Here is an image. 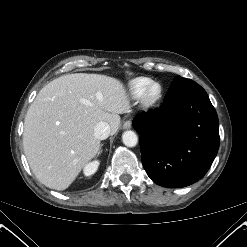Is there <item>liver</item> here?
<instances>
[{
  "label": "liver",
  "mask_w": 247,
  "mask_h": 247,
  "mask_svg": "<svg viewBox=\"0 0 247 247\" xmlns=\"http://www.w3.org/2000/svg\"><path fill=\"white\" fill-rule=\"evenodd\" d=\"M125 86L113 77L76 73L44 86L24 122L23 146L32 172L46 187L67 189L100 149L94 128L108 123L110 134L129 113Z\"/></svg>",
  "instance_id": "6515ba94"
}]
</instances>
